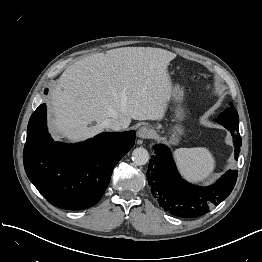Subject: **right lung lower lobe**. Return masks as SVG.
Here are the masks:
<instances>
[{
	"label": "right lung lower lobe",
	"mask_w": 262,
	"mask_h": 262,
	"mask_svg": "<svg viewBox=\"0 0 262 262\" xmlns=\"http://www.w3.org/2000/svg\"><path fill=\"white\" fill-rule=\"evenodd\" d=\"M134 143L135 131L105 132L78 144L54 142L47 131L43 104L28 123L24 168L49 203L82 210L101 199L114 166Z\"/></svg>",
	"instance_id": "1"
}]
</instances>
